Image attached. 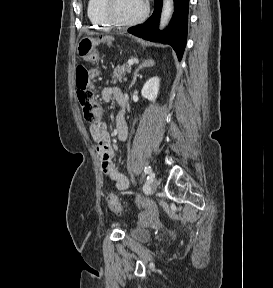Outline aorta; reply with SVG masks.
<instances>
[{"label":"aorta","instance_id":"obj_1","mask_svg":"<svg viewBox=\"0 0 273 288\" xmlns=\"http://www.w3.org/2000/svg\"><path fill=\"white\" fill-rule=\"evenodd\" d=\"M174 9L173 0H163L161 19H160V29L167 26Z\"/></svg>","mask_w":273,"mask_h":288}]
</instances>
